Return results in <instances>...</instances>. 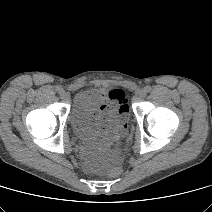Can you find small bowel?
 I'll use <instances>...</instances> for the list:
<instances>
[{"label":"small bowel","instance_id":"1","mask_svg":"<svg viewBox=\"0 0 212 212\" xmlns=\"http://www.w3.org/2000/svg\"><path fill=\"white\" fill-rule=\"evenodd\" d=\"M109 98L110 102H102L90 112L89 121L99 136L117 139L125 133L126 126L112 104H119L125 98V93L115 89L109 93Z\"/></svg>","mask_w":212,"mask_h":212}]
</instances>
